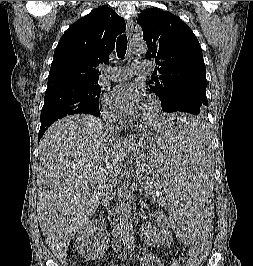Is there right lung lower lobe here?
Segmentation results:
<instances>
[{
  "label": "right lung lower lobe",
  "mask_w": 253,
  "mask_h": 266,
  "mask_svg": "<svg viewBox=\"0 0 253 266\" xmlns=\"http://www.w3.org/2000/svg\"><path fill=\"white\" fill-rule=\"evenodd\" d=\"M100 115V112L98 115H95V116H99ZM49 126H44V127H40V131H39V134H38V142L39 140L41 139V137L43 136L44 132L46 131V129L48 128Z\"/></svg>",
  "instance_id": "obj_1"
}]
</instances>
